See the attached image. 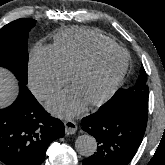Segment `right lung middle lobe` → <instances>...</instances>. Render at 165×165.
<instances>
[{"mask_svg": "<svg viewBox=\"0 0 165 165\" xmlns=\"http://www.w3.org/2000/svg\"><path fill=\"white\" fill-rule=\"evenodd\" d=\"M35 20L22 18L5 25L0 30V67L9 69L16 78L28 82V32Z\"/></svg>", "mask_w": 165, "mask_h": 165, "instance_id": "dd1d6c3e", "label": "right lung middle lobe"}]
</instances>
